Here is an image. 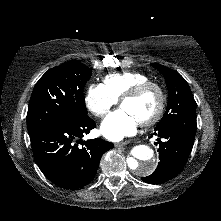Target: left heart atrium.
Here are the masks:
<instances>
[{
  "mask_svg": "<svg viewBox=\"0 0 221 221\" xmlns=\"http://www.w3.org/2000/svg\"><path fill=\"white\" fill-rule=\"evenodd\" d=\"M140 121L128 110L121 107L110 113L101 124V133L111 141H120L133 135Z\"/></svg>",
  "mask_w": 221,
  "mask_h": 221,
  "instance_id": "left-heart-atrium-1",
  "label": "left heart atrium"
}]
</instances>
